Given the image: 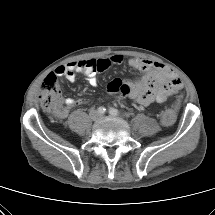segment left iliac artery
Wrapping results in <instances>:
<instances>
[{
  "instance_id": "44dca946",
  "label": "left iliac artery",
  "mask_w": 215,
  "mask_h": 215,
  "mask_svg": "<svg viewBox=\"0 0 215 215\" xmlns=\"http://www.w3.org/2000/svg\"><path fill=\"white\" fill-rule=\"evenodd\" d=\"M109 113L113 116H118L120 114V112L115 108H110Z\"/></svg>"
}]
</instances>
